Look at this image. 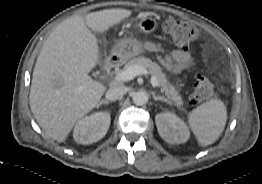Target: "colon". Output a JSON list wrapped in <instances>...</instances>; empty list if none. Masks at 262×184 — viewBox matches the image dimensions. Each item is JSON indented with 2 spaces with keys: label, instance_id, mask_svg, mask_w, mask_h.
<instances>
[{
  "label": "colon",
  "instance_id": "colon-1",
  "mask_svg": "<svg viewBox=\"0 0 262 184\" xmlns=\"http://www.w3.org/2000/svg\"><path fill=\"white\" fill-rule=\"evenodd\" d=\"M163 28L171 41L181 47H190L199 36L196 26L182 19L168 18L164 21ZM212 94L213 86L210 80L198 75L194 81L191 102L199 104L211 98Z\"/></svg>",
  "mask_w": 262,
  "mask_h": 184
}]
</instances>
